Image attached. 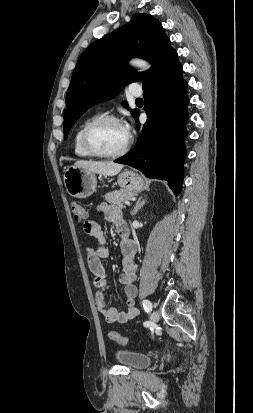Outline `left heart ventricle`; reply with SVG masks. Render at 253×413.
Returning a JSON list of instances; mask_svg holds the SVG:
<instances>
[{
	"label": "left heart ventricle",
	"mask_w": 253,
	"mask_h": 413,
	"mask_svg": "<svg viewBox=\"0 0 253 413\" xmlns=\"http://www.w3.org/2000/svg\"><path fill=\"white\" fill-rule=\"evenodd\" d=\"M128 135L121 123L106 122L98 126L92 133L93 146L100 152L113 153L119 151L126 143Z\"/></svg>",
	"instance_id": "b2bd125f"
}]
</instances>
